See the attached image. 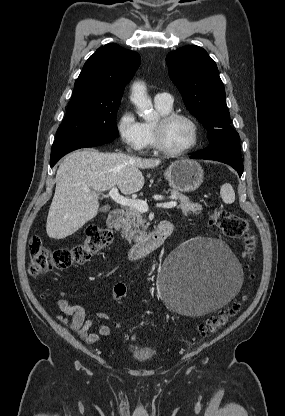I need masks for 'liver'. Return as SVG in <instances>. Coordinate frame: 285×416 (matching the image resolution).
<instances>
[{
  "label": "liver",
  "instance_id": "obj_1",
  "mask_svg": "<svg viewBox=\"0 0 285 416\" xmlns=\"http://www.w3.org/2000/svg\"><path fill=\"white\" fill-rule=\"evenodd\" d=\"M159 158L142 160L127 154H100L83 148L66 156L56 174V190L49 208L46 232L49 238L64 240L95 218L98 196L110 188L121 194H136L144 186L140 170L157 168Z\"/></svg>",
  "mask_w": 285,
  "mask_h": 416
}]
</instances>
